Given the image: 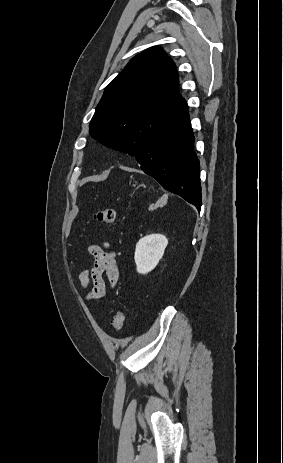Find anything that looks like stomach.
I'll return each instance as SVG.
<instances>
[{
	"label": "stomach",
	"mask_w": 283,
	"mask_h": 463,
	"mask_svg": "<svg viewBox=\"0 0 283 463\" xmlns=\"http://www.w3.org/2000/svg\"><path fill=\"white\" fill-rule=\"evenodd\" d=\"M140 186H143V187H145V185H144V184H142V185H140Z\"/></svg>",
	"instance_id": "stomach-1"
}]
</instances>
